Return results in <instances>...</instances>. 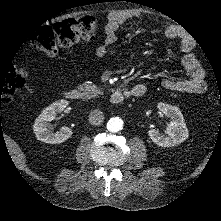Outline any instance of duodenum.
Segmentation results:
<instances>
[{
  "mask_svg": "<svg viewBox=\"0 0 221 221\" xmlns=\"http://www.w3.org/2000/svg\"><path fill=\"white\" fill-rule=\"evenodd\" d=\"M145 93V87L143 85H137L130 90H114L110 95V101L113 104H121L124 100L130 97H139ZM65 98L70 101H77L81 99V91L77 88H71L65 92Z\"/></svg>",
  "mask_w": 221,
  "mask_h": 221,
  "instance_id": "410a0bca",
  "label": "duodenum"
}]
</instances>
